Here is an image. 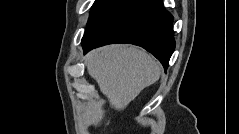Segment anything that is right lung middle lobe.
<instances>
[{"label":"right lung middle lobe","mask_w":239,"mask_h":134,"mask_svg":"<svg viewBox=\"0 0 239 134\" xmlns=\"http://www.w3.org/2000/svg\"><path fill=\"white\" fill-rule=\"evenodd\" d=\"M125 2L126 0H96L91 8L83 38L88 37L110 14Z\"/></svg>","instance_id":"obj_1"}]
</instances>
